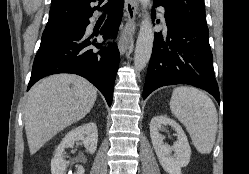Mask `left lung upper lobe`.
Returning <instances> with one entry per match:
<instances>
[{"mask_svg": "<svg viewBox=\"0 0 249 174\" xmlns=\"http://www.w3.org/2000/svg\"><path fill=\"white\" fill-rule=\"evenodd\" d=\"M174 15L193 23L207 26L204 0H154Z\"/></svg>", "mask_w": 249, "mask_h": 174, "instance_id": "obj_1", "label": "left lung upper lobe"}]
</instances>
